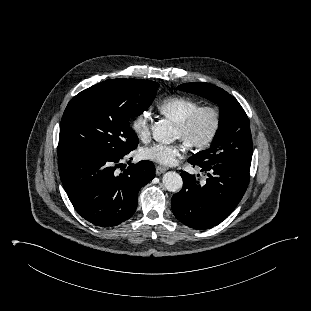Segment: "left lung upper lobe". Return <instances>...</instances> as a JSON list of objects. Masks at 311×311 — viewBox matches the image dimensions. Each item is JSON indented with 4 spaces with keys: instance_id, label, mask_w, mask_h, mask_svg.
<instances>
[{
    "instance_id": "left-lung-upper-lobe-1",
    "label": "left lung upper lobe",
    "mask_w": 311,
    "mask_h": 311,
    "mask_svg": "<svg viewBox=\"0 0 311 311\" xmlns=\"http://www.w3.org/2000/svg\"><path fill=\"white\" fill-rule=\"evenodd\" d=\"M181 91L194 93L220 107L219 127L209 149L191 156L196 164L239 163L251 165L252 137L249 119L239 102L228 92L208 83H186Z\"/></svg>"
}]
</instances>
